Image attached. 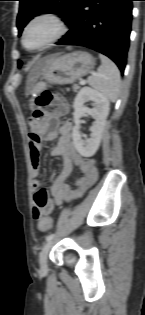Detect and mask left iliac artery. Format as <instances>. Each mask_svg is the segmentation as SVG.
I'll return each mask as SVG.
<instances>
[{
  "mask_svg": "<svg viewBox=\"0 0 145 315\" xmlns=\"http://www.w3.org/2000/svg\"><path fill=\"white\" fill-rule=\"evenodd\" d=\"M54 237H55V234H49V235L46 237V242L52 240Z\"/></svg>",
  "mask_w": 145,
  "mask_h": 315,
  "instance_id": "obj_1",
  "label": "left iliac artery"
}]
</instances>
